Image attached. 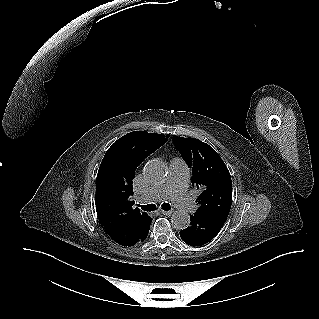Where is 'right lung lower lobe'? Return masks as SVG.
Wrapping results in <instances>:
<instances>
[{
  "mask_svg": "<svg viewBox=\"0 0 319 319\" xmlns=\"http://www.w3.org/2000/svg\"><path fill=\"white\" fill-rule=\"evenodd\" d=\"M151 221H152V218H150V217H148L144 221L141 228L131 237L129 244H128L129 246L134 245L138 242H142L146 239L148 232H149Z\"/></svg>",
  "mask_w": 319,
  "mask_h": 319,
  "instance_id": "right-lung-lower-lobe-1",
  "label": "right lung lower lobe"
}]
</instances>
